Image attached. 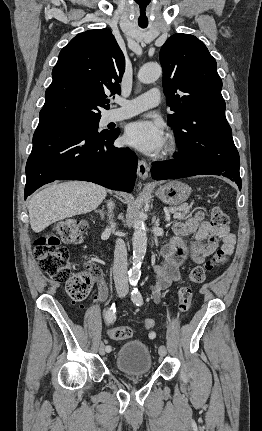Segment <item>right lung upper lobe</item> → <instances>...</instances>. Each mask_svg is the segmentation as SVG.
Returning <instances> with one entry per match:
<instances>
[{
    "label": "right lung upper lobe",
    "instance_id": "right-lung-upper-lobe-1",
    "mask_svg": "<svg viewBox=\"0 0 262 431\" xmlns=\"http://www.w3.org/2000/svg\"><path fill=\"white\" fill-rule=\"evenodd\" d=\"M125 59L108 29L75 36L59 53L53 81L45 92L40 122L101 117L107 94L120 93Z\"/></svg>",
    "mask_w": 262,
    "mask_h": 431
}]
</instances>
